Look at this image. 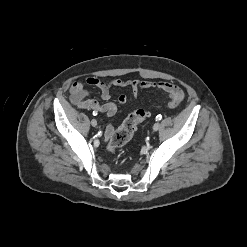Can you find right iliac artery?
<instances>
[{
	"instance_id": "obj_1",
	"label": "right iliac artery",
	"mask_w": 247,
	"mask_h": 247,
	"mask_svg": "<svg viewBox=\"0 0 247 247\" xmlns=\"http://www.w3.org/2000/svg\"><path fill=\"white\" fill-rule=\"evenodd\" d=\"M93 115H97V113L96 112H93Z\"/></svg>"
}]
</instances>
